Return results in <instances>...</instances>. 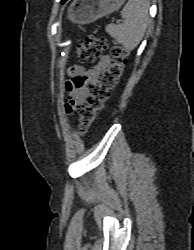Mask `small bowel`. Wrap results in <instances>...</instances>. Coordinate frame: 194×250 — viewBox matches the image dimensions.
<instances>
[{"mask_svg":"<svg viewBox=\"0 0 194 250\" xmlns=\"http://www.w3.org/2000/svg\"><path fill=\"white\" fill-rule=\"evenodd\" d=\"M110 65V58L103 56L94 66L85 70L75 65L69 70L70 80L66 83L68 106H77L85 102L88 87L98 80L99 75Z\"/></svg>","mask_w":194,"mask_h":250,"instance_id":"obj_1","label":"small bowel"}]
</instances>
